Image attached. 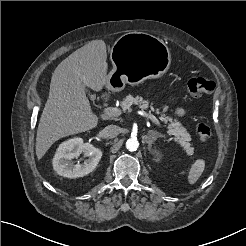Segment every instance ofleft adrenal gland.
<instances>
[{"label": "left adrenal gland", "mask_w": 246, "mask_h": 246, "mask_svg": "<svg viewBox=\"0 0 246 246\" xmlns=\"http://www.w3.org/2000/svg\"><path fill=\"white\" fill-rule=\"evenodd\" d=\"M148 135L153 137V139H148L147 136L144 138L146 143H148L149 148L151 147V144H152V142L154 141L155 138L163 137V135L161 133H158L157 131H154V130H150L148 132Z\"/></svg>", "instance_id": "obj_1"}]
</instances>
